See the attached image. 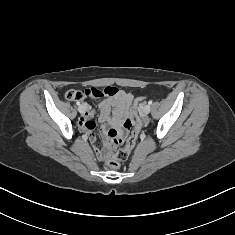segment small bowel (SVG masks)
<instances>
[{"label":"small bowel","mask_w":235,"mask_h":235,"mask_svg":"<svg viewBox=\"0 0 235 235\" xmlns=\"http://www.w3.org/2000/svg\"><path fill=\"white\" fill-rule=\"evenodd\" d=\"M114 90L112 95L106 96V98L100 103L99 122L103 132L112 128H117L120 125L121 119L130 115V107L133 102V95L122 90H118L111 87ZM85 107V113L79 119V126L87 131L90 141L95 142L93 131L96 127L92 120L94 111L92 107L83 103ZM115 130V129H114ZM118 134L119 130H115Z\"/></svg>","instance_id":"c3829d8e"}]
</instances>
